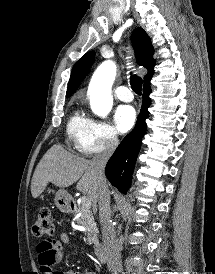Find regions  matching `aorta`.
I'll return each instance as SVG.
<instances>
[{
    "instance_id": "aorta-1",
    "label": "aorta",
    "mask_w": 215,
    "mask_h": 274,
    "mask_svg": "<svg viewBox=\"0 0 215 274\" xmlns=\"http://www.w3.org/2000/svg\"><path fill=\"white\" fill-rule=\"evenodd\" d=\"M116 75L113 61H104L94 72L89 84L88 93L92 111L105 118L112 109L111 88Z\"/></svg>"
}]
</instances>
